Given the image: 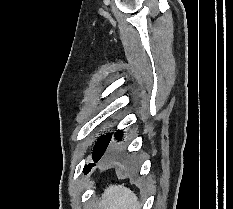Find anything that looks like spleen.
Masks as SVG:
<instances>
[{"instance_id":"spleen-1","label":"spleen","mask_w":233,"mask_h":209,"mask_svg":"<svg viewBox=\"0 0 233 209\" xmlns=\"http://www.w3.org/2000/svg\"><path fill=\"white\" fill-rule=\"evenodd\" d=\"M100 209H140L137 196L123 185H111L105 189L99 203Z\"/></svg>"}]
</instances>
